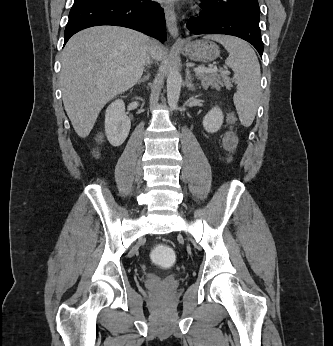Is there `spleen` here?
Returning a JSON list of instances; mask_svg holds the SVG:
<instances>
[{
	"label": "spleen",
	"mask_w": 333,
	"mask_h": 346,
	"mask_svg": "<svg viewBox=\"0 0 333 346\" xmlns=\"http://www.w3.org/2000/svg\"><path fill=\"white\" fill-rule=\"evenodd\" d=\"M205 38L219 42L229 53L225 63L234 71L237 83L234 104L242 125L248 127L255 118L261 92L258 58L248 43L236 37L208 35Z\"/></svg>",
	"instance_id": "3e777b00"
}]
</instances>
